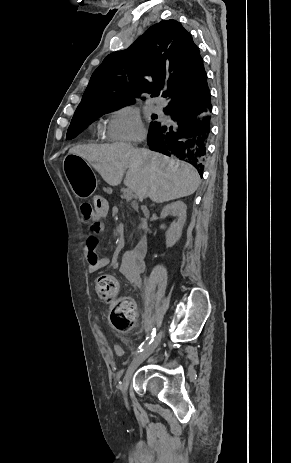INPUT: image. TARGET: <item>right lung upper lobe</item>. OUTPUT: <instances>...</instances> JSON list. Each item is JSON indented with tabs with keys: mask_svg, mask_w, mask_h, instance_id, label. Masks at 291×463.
I'll return each mask as SVG.
<instances>
[{
	"mask_svg": "<svg viewBox=\"0 0 291 463\" xmlns=\"http://www.w3.org/2000/svg\"><path fill=\"white\" fill-rule=\"evenodd\" d=\"M205 75L191 34L179 22L164 20L151 26L128 49L105 57L76 110L135 101L140 93L155 96L159 90H165V97L170 98L168 107L191 105L203 96Z\"/></svg>",
	"mask_w": 291,
	"mask_h": 463,
	"instance_id": "right-lung-upper-lobe-1",
	"label": "right lung upper lobe"
}]
</instances>
